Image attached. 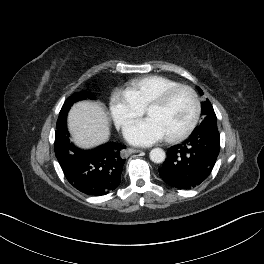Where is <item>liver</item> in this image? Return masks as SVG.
I'll use <instances>...</instances> for the list:
<instances>
[{
	"instance_id": "6515ba94",
	"label": "liver",
	"mask_w": 264,
	"mask_h": 264,
	"mask_svg": "<svg viewBox=\"0 0 264 264\" xmlns=\"http://www.w3.org/2000/svg\"><path fill=\"white\" fill-rule=\"evenodd\" d=\"M68 128L75 144L91 148L106 142L110 135L109 118L101 104L81 101L68 114Z\"/></svg>"
}]
</instances>
